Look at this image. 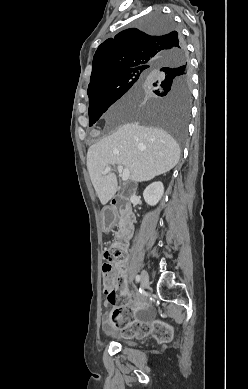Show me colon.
<instances>
[{"instance_id":"1","label":"colon","mask_w":248,"mask_h":389,"mask_svg":"<svg viewBox=\"0 0 248 389\" xmlns=\"http://www.w3.org/2000/svg\"><path fill=\"white\" fill-rule=\"evenodd\" d=\"M105 262L103 264V277L104 285L103 290L106 291L107 300L111 304L120 303L116 306V311L113 312L111 321L113 324H118L120 318V312H130V305H123L127 303L128 298L126 296L121 297L119 295V288L122 286V278L124 276L123 263L126 258L124 248L119 244H114L104 253ZM130 302L134 301L133 297L129 298ZM169 324L164 322H157L155 326H151L149 322H133L127 321L122 325V332L125 336H131L135 333L137 337H142L146 329L151 333H159V336L163 339L170 337ZM160 346L164 345L163 341L159 342Z\"/></svg>"}]
</instances>
